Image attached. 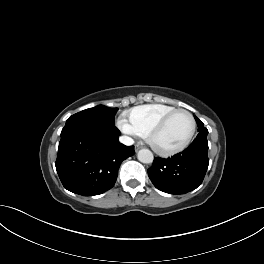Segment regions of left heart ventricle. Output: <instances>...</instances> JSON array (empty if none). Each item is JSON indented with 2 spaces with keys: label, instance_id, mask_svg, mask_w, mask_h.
Returning <instances> with one entry per match:
<instances>
[{
  "label": "left heart ventricle",
  "instance_id": "left-heart-ventricle-1",
  "mask_svg": "<svg viewBox=\"0 0 264 264\" xmlns=\"http://www.w3.org/2000/svg\"><path fill=\"white\" fill-rule=\"evenodd\" d=\"M192 123L186 114L175 115L155 137V144L163 149L182 144L190 135Z\"/></svg>",
  "mask_w": 264,
  "mask_h": 264
}]
</instances>
